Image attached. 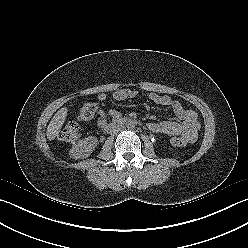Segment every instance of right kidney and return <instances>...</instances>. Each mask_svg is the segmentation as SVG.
<instances>
[{"mask_svg":"<svg viewBox=\"0 0 248 248\" xmlns=\"http://www.w3.org/2000/svg\"><path fill=\"white\" fill-rule=\"evenodd\" d=\"M98 139L94 136H89L79 140L70 149L69 155L74 159H83L88 157L97 146Z\"/></svg>","mask_w":248,"mask_h":248,"instance_id":"obj_1","label":"right kidney"}]
</instances>
